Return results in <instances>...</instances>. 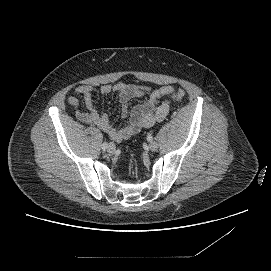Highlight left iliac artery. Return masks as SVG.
Masks as SVG:
<instances>
[{
	"instance_id": "44dca946",
	"label": "left iliac artery",
	"mask_w": 271,
	"mask_h": 271,
	"mask_svg": "<svg viewBox=\"0 0 271 271\" xmlns=\"http://www.w3.org/2000/svg\"><path fill=\"white\" fill-rule=\"evenodd\" d=\"M147 140H148L149 142H151V141L153 140V137H152L151 134L147 135Z\"/></svg>"
}]
</instances>
